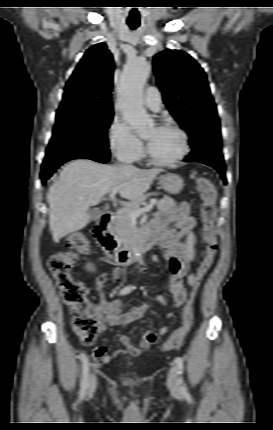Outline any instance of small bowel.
I'll return each instance as SVG.
<instances>
[{
  "label": "small bowel",
  "mask_w": 273,
  "mask_h": 430,
  "mask_svg": "<svg viewBox=\"0 0 273 430\" xmlns=\"http://www.w3.org/2000/svg\"><path fill=\"white\" fill-rule=\"evenodd\" d=\"M175 222L172 228H168V224ZM195 220L189 213L187 203L182 205L175 211H161L151 222L148 232L156 237V246L162 249V257L169 267L171 276L168 289L172 295L173 304L175 307H180L184 304L187 296V291L184 285L186 278L188 285L195 283V273L192 270L195 251V236L192 232ZM152 260L160 264L159 256L154 255ZM142 270H146L145 266H141ZM125 271L121 268H115L110 273L101 275L96 283L94 290L98 298V328L101 332L106 330V327H124L132 322L141 320L147 309L148 304L134 306L126 312H123V302L120 300L109 301L105 297V286L109 283L123 279ZM157 301L162 305H166V300L162 296H158ZM174 316L173 312H168L167 317ZM169 327L164 326L157 331L148 330L144 333L137 344L125 334L118 335V341L124 346V349L117 350L113 354L107 352L104 345L94 347L92 355L94 358L101 360L104 363L110 362L114 357L123 355L137 357L151 346L157 345L160 342V336L166 334Z\"/></svg>",
  "instance_id": "obj_1"
}]
</instances>
